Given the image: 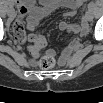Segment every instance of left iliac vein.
Wrapping results in <instances>:
<instances>
[{"label": "left iliac vein", "mask_w": 103, "mask_h": 103, "mask_svg": "<svg viewBox=\"0 0 103 103\" xmlns=\"http://www.w3.org/2000/svg\"><path fill=\"white\" fill-rule=\"evenodd\" d=\"M87 16H88V19H89L90 21H92V19H93L92 13H91V12H88Z\"/></svg>", "instance_id": "left-iliac-vein-1"}]
</instances>
